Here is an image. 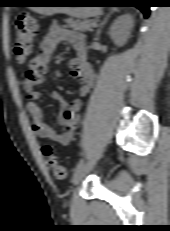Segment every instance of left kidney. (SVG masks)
<instances>
[{
    "mask_svg": "<svg viewBox=\"0 0 170 231\" xmlns=\"http://www.w3.org/2000/svg\"><path fill=\"white\" fill-rule=\"evenodd\" d=\"M132 27V17L130 15H122L110 27L109 35L116 45L123 46L130 35Z\"/></svg>",
    "mask_w": 170,
    "mask_h": 231,
    "instance_id": "left-kidney-1",
    "label": "left kidney"
}]
</instances>
